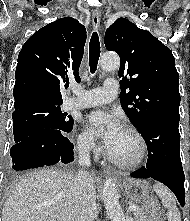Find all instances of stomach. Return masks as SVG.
Returning <instances> with one entry per match:
<instances>
[{"label": "stomach", "instance_id": "stomach-1", "mask_svg": "<svg viewBox=\"0 0 190 221\" xmlns=\"http://www.w3.org/2000/svg\"><path fill=\"white\" fill-rule=\"evenodd\" d=\"M119 185L124 195L135 203L140 204L144 212L157 221H162L160 206L148 181L122 177Z\"/></svg>", "mask_w": 190, "mask_h": 221}]
</instances>
